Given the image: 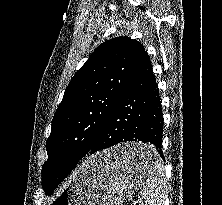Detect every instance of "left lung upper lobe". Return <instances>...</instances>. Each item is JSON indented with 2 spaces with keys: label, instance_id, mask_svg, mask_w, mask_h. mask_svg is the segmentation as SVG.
<instances>
[{
  "label": "left lung upper lobe",
  "instance_id": "5c2ea615",
  "mask_svg": "<svg viewBox=\"0 0 222 205\" xmlns=\"http://www.w3.org/2000/svg\"><path fill=\"white\" fill-rule=\"evenodd\" d=\"M143 53L138 41L113 38L98 46L73 76L54 114L46 144L42 186L47 195L61 178L57 160L67 152H89Z\"/></svg>",
  "mask_w": 222,
  "mask_h": 205
}]
</instances>
